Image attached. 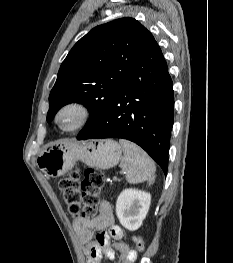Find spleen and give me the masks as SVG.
<instances>
[{
	"label": "spleen",
	"mask_w": 233,
	"mask_h": 263,
	"mask_svg": "<svg viewBox=\"0 0 233 263\" xmlns=\"http://www.w3.org/2000/svg\"><path fill=\"white\" fill-rule=\"evenodd\" d=\"M124 150L121 168L126 174V180L131 184L155 180V164L148 154L140 147L127 140H119Z\"/></svg>",
	"instance_id": "obj_1"
}]
</instances>
